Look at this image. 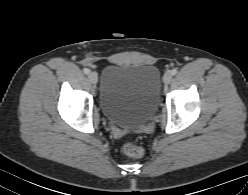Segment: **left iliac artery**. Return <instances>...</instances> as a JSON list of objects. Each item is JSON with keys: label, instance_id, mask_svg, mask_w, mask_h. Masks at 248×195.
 I'll use <instances>...</instances> for the list:
<instances>
[{"label": "left iliac artery", "instance_id": "44dca946", "mask_svg": "<svg viewBox=\"0 0 248 195\" xmlns=\"http://www.w3.org/2000/svg\"><path fill=\"white\" fill-rule=\"evenodd\" d=\"M177 72H178L177 69H173V70L171 71V74H172V75H176Z\"/></svg>", "mask_w": 248, "mask_h": 195}]
</instances>
